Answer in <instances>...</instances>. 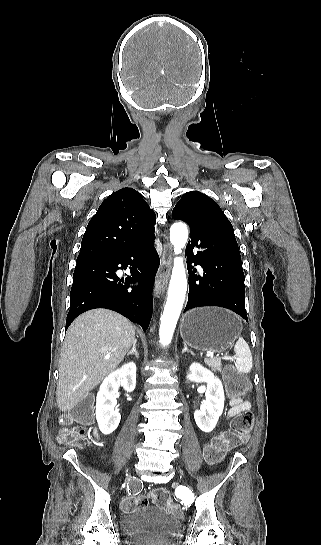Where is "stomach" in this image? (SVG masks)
<instances>
[{
    "mask_svg": "<svg viewBox=\"0 0 321 545\" xmlns=\"http://www.w3.org/2000/svg\"><path fill=\"white\" fill-rule=\"evenodd\" d=\"M242 331L241 319L228 309L202 307L185 313L180 333L192 349L223 353Z\"/></svg>",
    "mask_w": 321,
    "mask_h": 545,
    "instance_id": "1",
    "label": "stomach"
}]
</instances>
